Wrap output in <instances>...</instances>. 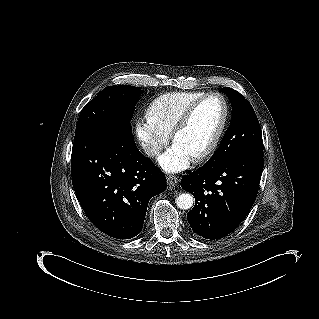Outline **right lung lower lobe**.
<instances>
[{"mask_svg":"<svg viewBox=\"0 0 319 319\" xmlns=\"http://www.w3.org/2000/svg\"><path fill=\"white\" fill-rule=\"evenodd\" d=\"M72 183L89 220L103 233L130 239L143 227L151 197L166 179L133 138L105 134L74 142Z\"/></svg>","mask_w":319,"mask_h":319,"instance_id":"1","label":"right lung lower lobe"}]
</instances>
